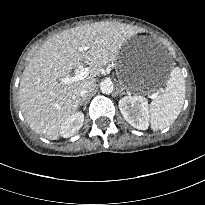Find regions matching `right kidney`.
Listing matches in <instances>:
<instances>
[{
  "instance_id": "1",
  "label": "right kidney",
  "mask_w": 205,
  "mask_h": 205,
  "mask_svg": "<svg viewBox=\"0 0 205 205\" xmlns=\"http://www.w3.org/2000/svg\"><path fill=\"white\" fill-rule=\"evenodd\" d=\"M84 122V114L81 112H76L71 115L61 124L60 134L63 137H71L82 127Z\"/></svg>"
}]
</instances>
